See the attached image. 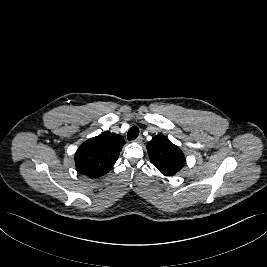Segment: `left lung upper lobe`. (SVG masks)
Here are the masks:
<instances>
[{
    "instance_id": "obj_1",
    "label": "left lung upper lobe",
    "mask_w": 267,
    "mask_h": 267,
    "mask_svg": "<svg viewBox=\"0 0 267 267\" xmlns=\"http://www.w3.org/2000/svg\"><path fill=\"white\" fill-rule=\"evenodd\" d=\"M151 163L166 176H172L180 171L185 164L183 152L167 137L157 135L147 144Z\"/></svg>"
}]
</instances>
